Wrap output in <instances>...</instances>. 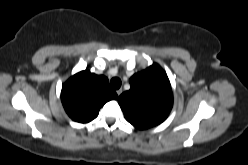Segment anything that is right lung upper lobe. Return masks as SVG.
I'll return each mask as SVG.
<instances>
[{
	"instance_id": "1",
	"label": "right lung upper lobe",
	"mask_w": 248,
	"mask_h": 165,
	"mask_svg": "<svg viewBox=\"0 0 248 165\" xmlns=\"http://www.w3.org/2000/svg\"><path fill=\"white\" fill-rule=\"evenodd\" d=\"M117 98L105 76L88 70L72 76L64 83L61 91V101L66 113L80 123L95 119L106 102Z\"/></svg>"
}]
</instances>
